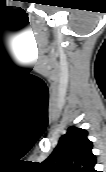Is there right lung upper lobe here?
<instances>
[{
    "instance_id": "right-lung-upper-lobe-1",
    "label": "right lung upper lobe",
    "mask_w": 106,
    "mask_h": 172,
    "mask_svg": "<svg viewBox=\"0 0 106 172\" xmlns=\"http://www.w3.org/2000/svg\"><path fill=\"white\" fill-rule=\"evenodd\" d=\"M85 129L71 126L52 154L42 163L47 172H96L92 142Z\"/></svg>"
}]
</instances>
